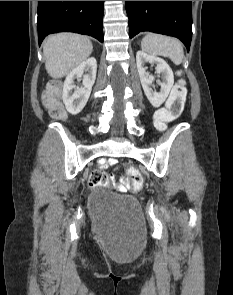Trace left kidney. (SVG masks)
<instances>
[{"label": "left kidney", "mask_w": 233, "mask_h": 295, "mask_svg": "<svg viewBox=\"0 0 233 295\" xmlns=\"http://www.w3.org/2000/svg\"><path fill=\"white\" fill-rule=\"evenodd\" d=\"M146 62L156 64V72L162 75V81L158 80V84L161 87L160 92H156L151 88L155 77L146 72V68L144 67ZM136 64L147 99L155 108L160 107L168 97L174 84V75L170 66L162 58L148 55L143 51L136 53Z\"/></svg>", "instance_id": "left-kidney-1"}]
</instances>
